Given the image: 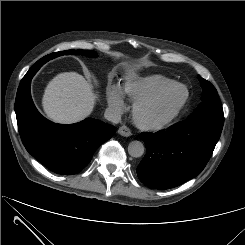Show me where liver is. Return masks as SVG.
<instances>
[{"label": "liver", "mask_w": 245, "mask_h": 245, "mask_svg": "<svg viewBox=\"0 0 245 245\" xmlns=\"http://www.w3.org/2000/svg\"><path fill=\"white\" fill-rule=\"evenodd\" d=\"M95 98L91 85L82 75L64 72L48 83L42 106L52 121L72 124L82 121L91 114Z\"/></svg>", "instance_id": "1"}]
</instances>
